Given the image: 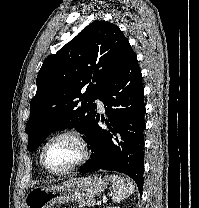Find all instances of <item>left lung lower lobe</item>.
I'll use <instances>...</instances> for the list:
<instances>
[{
	"instance_id": "0a47b994",
	"label": "left lung lower lobe",
	"mask_w": 199,
	"mask_h": 208,
	"mask_svg": "<svg viewBox=\"0 0 199 208\" xmlns=\"http://www.w3.org/2000/svg\"><path fill=\"white\" fill-rule=\"evenodd\" d=\"M106 110L107 129L96 115L87 138L92 151L80 172L113 170L130 176L140 193L143 188L145 105L142 75L136 54L100 92Z\"/></svg>"
}]
</instances>
